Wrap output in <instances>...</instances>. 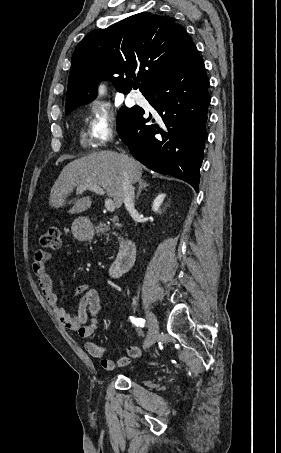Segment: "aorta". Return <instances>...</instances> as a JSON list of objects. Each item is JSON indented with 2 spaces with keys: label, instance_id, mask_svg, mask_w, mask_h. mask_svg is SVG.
Listing matches in <instances>:
<instances>
[{
  "label": "aorta",
  "instance_id": "762f6f07",
  "mask_svg": "<svg viewBox=\"0 0 281 453\" xmlns=\"http://www.w3.org/2000/svg\"><path fill=\"white\" fill-rule=\"evenodd\" d=\"M99 90H100V92H101V91L103 92V87H102V86H100Z\"/></svg>",
  "mask_w": 281,
  "mask_h": 453
}]
</instances>
